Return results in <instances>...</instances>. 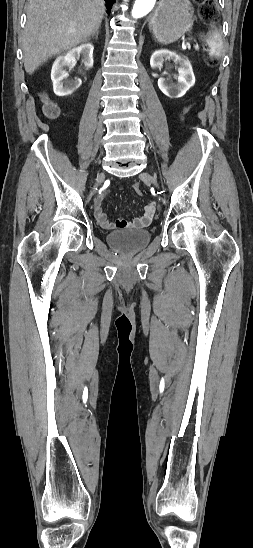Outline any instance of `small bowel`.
I'll return each mask as SVG.
<instances>
[{
	"instance_id": "c3829d8e",
	"label": "small bowel",
	"mask_w": 253,
	"mask_h": 548,
	"mask_svg": "<svg viewBox=\"0 0 253 548\" xmlns=\"http://www.w3.org/2000/svg\"><path fill=\"white\" fill-rule=\"evenodd\" d=\"M107 193H104L103 195L99 196L95 202H94V214L98 221V223L106 228V229H113V228H141L149 225L152 221V218L156 211V204L155 202H150L144 207L143 214L139 217H136L132 221H127L125 219H117L113 222H111L106 213L103 210V199L106 196Z\"/></svg>"
}]
</instances>
